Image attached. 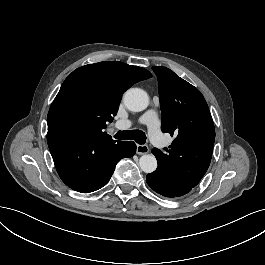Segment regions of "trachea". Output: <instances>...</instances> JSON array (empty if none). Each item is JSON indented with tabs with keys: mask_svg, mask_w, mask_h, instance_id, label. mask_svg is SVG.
<instances>
[{
	"mask_svg": "<svg viewBox=\"0 0 265 265\" xmlns=\"http://www.w3.org/2000/svg\"><path fill=\"white\" fill-rule=\"evenodd\" d=\"M116 139L122 140H135L138 144H145L146 135L141 130H131V131H118L115 135Z\"/></svg>",
	"mask_w": 265,
	"mask_h": 265,
	"instance_id": "3493384b",
	"label": "trachea"
}]
</instances>
